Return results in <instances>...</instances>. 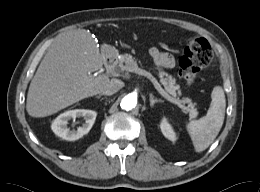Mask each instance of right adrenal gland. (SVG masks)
<instances>
[{"label": "right adrenal gland", "mask_w": 260, "mask_h": 192, "mask_svg": "<svg viewBox=\"0 0 260 192\" xmlns=\"http://www.w3.org/2000/svg\"><path fill=\"white\" fill-rule=\"evenodd\" d=\"M100 97H101V95L96 96V98H100Z\"/></svg>", "instance_id": "2a0ac1e0"}]
</instances>
